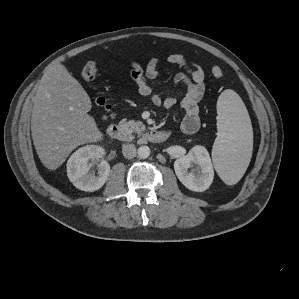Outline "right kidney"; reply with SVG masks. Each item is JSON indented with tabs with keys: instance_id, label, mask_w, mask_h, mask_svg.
Returning a JSON list of instances; mask_svg holds the SVG:
<instances>
[{
	"instance_id": "obj_1",
	"label": "right kidney",
	"mask_w": 299,
	"mask_h": 299,
	"mask_svg": "<svg viewBox=\"0 0 299 299\" xmlns=\"http://www.w3.org/2000/svg\"><path fill=\"white\" fill-rule=\"evenodd\" d=\"M104 153V149L100 146L87 145L70 156L67 162V176L76 188L93 192L105 184L110 174V166L105 160L97 162V174L90 170L92 166L90 161L100 158Z\"/></svg>"
}]
</instances>
